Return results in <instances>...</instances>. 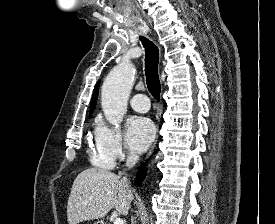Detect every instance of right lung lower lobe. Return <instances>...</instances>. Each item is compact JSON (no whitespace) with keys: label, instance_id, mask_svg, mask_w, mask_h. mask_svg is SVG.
I'll list each match as a JSON object with an SVG mask.
<instances>
[{"label":"right lung lower lobe","instance_id":"1","mask_svg":"<svg viewBox=\"0 0 275 224\" xmlns=\"http://www.w3.org/2000/svg\"><path fill=\"white\" fill-rule=\"evenodd\" d=\"M145 174H146V167L144 165L142 166V168H140L136 176V181L139 186L141 185V182L143 181Z\"/></svg>","mask_w":275,"mask_h":224}]
</instances>
